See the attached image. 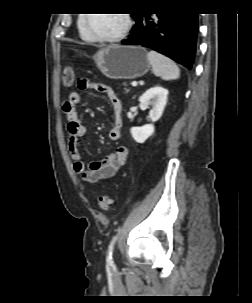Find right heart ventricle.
<instances>
[{
    "mask_svg": "<svg viewBox=\"0 0 252 303\" xmlns=\"http://www.w3.org/2000/svg\"><path fill=\"white\" fill-rule=\"evenodd\" d=\"M78 27H79V30L81 32V35L82 36H86L85 33H84V31H83V19H79L78 20Z\"/></svg>",
    "mask_w": 252,
    "mask_h": 303,
    "instance_id": "obj_1",
    "label": "right heart ventricle"
}]
</instances>
